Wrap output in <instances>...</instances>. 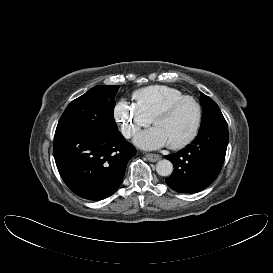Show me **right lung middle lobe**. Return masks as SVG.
Listing matches in <instances>:
<instances>
[{
    "instance_id": "1",
    "label": "right lung middle lobe",
    "mask_w": 273,
    "mask_h": 273,
    "mask_svg": "<svg viewBox=\"0 0 273 273\" xmlns=\"http://www.w3.org/2000/svg\"><path fill=\"white\" fill-rule=\"evenodd\" d=\"M120 86L99 85L73 100L62 114L55 135L70 132L98 131L117 133L113 111Z\"/></svg>"
}]
</instances>
